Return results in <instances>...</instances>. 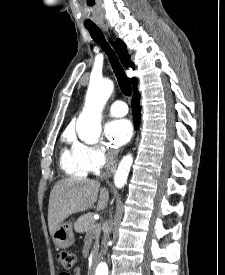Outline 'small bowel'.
I'll return each instance as SVG.
<instances>
[{
	"mask_svg": "<svg viewBox=\"0 0 225 275\" xmlns=\"http://www.w3.org/2000/svg\"><path fill=\"white\" fill-rule=\"evenodd\" d=\"M68 275H81L80 270L78 268H75L71 274Z\"/></svg>",
	"mask_w": 225,
	"mask_h": 275,
	"instance_id": "obj_1",
	"label": "small bowel"
}]
</instances>
